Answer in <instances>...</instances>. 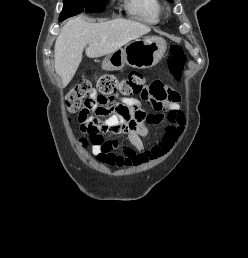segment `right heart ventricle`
I'll list each match as a JSON object with an SVG mask.
<instances>
[{
	"label": "right heart ventricle",
	"instance_id": "right-heart-ventricle-1",
	"mask_svg": "<svg viewBox=\"0 0 248 258\" xmlns=\"http://www.w3.org/2000/svg\"><path fill=\"white\" fill-rule=\"evenodd\" d=\"M125 7L130 16L149 24L158 23L163 13L159 0H125Z\"/></svg>",
	"mask_w": 248,
	"mask_h": 258
}]
</instances>
